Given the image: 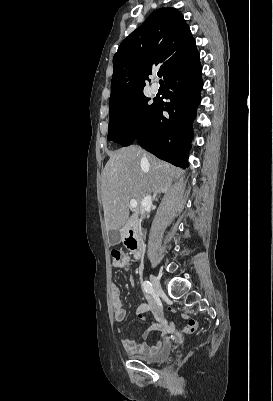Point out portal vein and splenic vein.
<instances>
[{"label": "portal vein and splenic vein", "instance_id": "1", "mask_svg": "<svg viewBox=\"0 0 273 401\" xmlns=\"http://www.w3.org/2000/svg\"><path fill=\"white\" fill-rule=\"evenodd\" d=\"M138 203L137 201H135V198H131L130 201V207H133V209H135V207H137Z\"/></svg>", "mask_w": 273, "mask_h": 401}]
</instances>
